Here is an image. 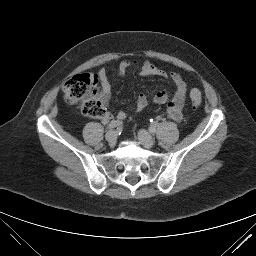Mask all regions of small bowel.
Returning <instances> with one entry per match:
<instances>
[{
    "instance_id": "c3829d8e",
    "label": "small bowel",
    "mask_w": 256,
    "mask_h": 256,
    "mask_svg": "<svg viewBox=\"0 0 256 256\" xmlns=\"http://www.w3.org/2000/svg\"><path fill=\"white\" fill-rule=\"evenodd\" d=\"M131 65L130 61H123L120 63L117 72L123 75L128 66ZM139 74L143 77H161L170 79L175 90L172 95H169L166 91H158L154 97L153 102L158 105H166V113L168 117L174 121H180L182 119V110L185 103L187 95V84L183 77L177 72L167 73L161 69L156 64L145 60L141 65H139ZM99 79L101 82V91L98 95V99L105 106H108L111 101V82L109 79V74L105 69L99 71ZM149 103L148 97L144 93H140L136 100V109L141 111L147 107ZM126 117L124 111H119L116 118L123 120ZM113 118V114L107 111L103 117L104 122H108Z\"/></svg>"
}]
</instances>
